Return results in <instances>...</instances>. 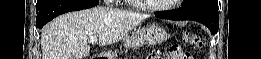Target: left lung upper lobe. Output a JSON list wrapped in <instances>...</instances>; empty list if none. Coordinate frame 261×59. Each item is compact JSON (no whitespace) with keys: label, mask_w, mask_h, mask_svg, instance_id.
Wrapping results in <instances>:
<instances>
[{"label":"left lung upper lobe","mask_w":261,"mask_h":59,"mask_svg":"<svg viewBox=\"0 0 261 59\" xmlns=\"http://www.w3.org/2000/svg\"><path fill=\"white\" fill-rule=\"evenodd\" d=\"M197 4L218 6V0H183L182 6H192Z\"/></svg>","instance_id":"left-lung-upper-lobe-1"}]
</instances>
